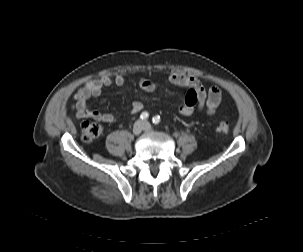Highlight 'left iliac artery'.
<instances>
[{
  "label": "left iliac artery",
  "instance_id": "obj_1",
  "mask_svg": "<svg viewBox=\"0 0 303 252\" xmlns=\"http://www.w3.org/2000/svg\"><path fill=\"white\" fill-rule=\"evenodd\" d=\"M152 122L155 124V125H157V124H159V122H160V116H154L153 117V119H152Z\"/></svg>",
  "mask_w": 303,
  "mask_h": 252
}]
</instances>
